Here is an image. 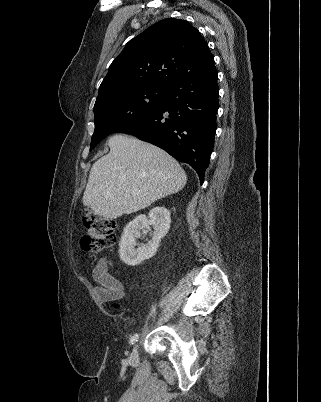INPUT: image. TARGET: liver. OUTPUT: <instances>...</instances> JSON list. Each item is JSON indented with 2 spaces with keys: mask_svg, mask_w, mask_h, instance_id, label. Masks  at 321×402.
I'll return each mask as SVG.
<instances>
[{
  "mask_svg": "<svg viewBox=\"0 0 321 402\" xmlns=\"http://www.w3.org/2000/svg\"><path fill=\"white\" fill-rule=\"evenodd\" d=\"M108 145L110 152L90 170L82 199L98 216L116 219L137 212L187 183L179 163L155 145L122 134L112 136Z\"/></svg>",
  "mask_w": 321,
  "mask_h": 402,
  "instance_id": "liver-1",
  "label": "liver"
}]
</instances>
